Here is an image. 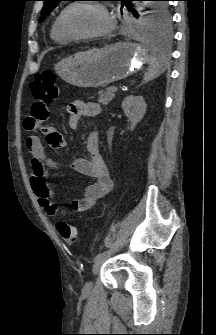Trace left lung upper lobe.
Here are the masks:
<instances>
[{
  "label": "left lung upper lobe",
  "mask_w": 216,
  "mask_h": 335,
  "mask_svg": "<svg viewBox=\"0 0 216 335\" xmlns=\"http://www.w3.org/2000/svg\"><path fill=\"white\" fill-rule=\"evenodd\" d=\"M44 7L41 11L39 22H42L55 6L62 0H42ZM121 1V5L126 7L138 18L140 17L141 26L150 33L169 36L171 33V15L166 4L167 0H137L144 1V7L140 12L135 11L130 5L132 0H115Z\"/></svg>",
  "instance_id": "left-lung-upper-lobe-1"
}]
</instances>
